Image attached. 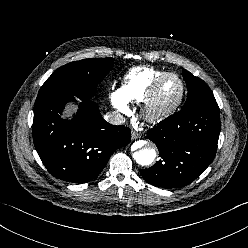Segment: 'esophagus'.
<instances>
[{
    "label": "esophagus",
    "mask_w": 248,
    "mask_h": 248,
    "mask_svg": "<svg viewBox=\"0 0 248 248\" xmlns=\"http://www.w3.org/2000/svg\"><path fill=\"white\" fill-rule=\"evenodd\" d=\"M131 138H132V140H136V139L140 138V134L136 131H132L131 132Z\"/></svg>",
    "instance_id": "1"
}]
</instances>
